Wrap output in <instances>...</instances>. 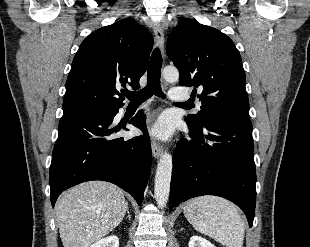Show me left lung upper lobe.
<instances>
[{"instance_id": "left-lung-upper-lobe-1", "label": "left lung upper lobe", "mask_w": 310, "mask_h": 247, "mask_svg": "<svg viewBox=\"0 0 310 247\" xmlns=\"http://www.w3.org/2000/svg\"><path fill=\"white\" fill-rule=\"evenodd\" d=\"M167 55L180 73L181 86L199 92L201 110L185 120L196 128L219 118L249 120L245 71L239 51L224 33L183 20L169 35Z\"/></svg>"}]
</instances>
